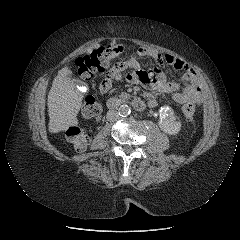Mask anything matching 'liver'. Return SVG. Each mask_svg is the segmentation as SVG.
Returning <instances> with one entry per match:
<instances>
[{"mask_svg":"<svg viewBox=\"0 0 240 240\" xmlns=\"http://www.w3.org/2000/svg\"><path fill=\"white\" fill-rule=\"evenodd\" d=\"M100 47L95 44L87 49L91 53L93 49ZM72 71L65 66L54 78L52 87L48 94V130L57 133L67 130L70 126L78 124L77 114L81 108L83 94L78 90L77 85L69 77Z\"/></svg>","mask_w":240,"mask_h":240,"instance_id":"obj_1","label":"liver"}]
</instances>
